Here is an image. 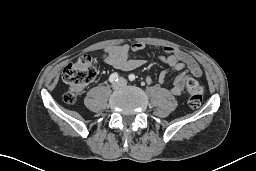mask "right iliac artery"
<instances>
[{"label":"right iliac artery","instance_id":"1","mask_svg":"<svg viewBox=\"0 0 256 171\" xmlns=\"http://www.w3.org/2000/svg\"><path fill=\"white\" fill-rule=\"evenodd\" d=\"M118 78H119L118 73H117V72H114V73H112V74L110 75L109 81H110L111 83H114V82L118 81Z\"/></svg>","mask_w":256,"mask_h":171}]
</instances>
